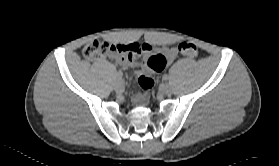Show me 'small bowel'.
I'll list each match as a JSON object with an SVG mask.
<instances>
[{
    "label": "small bowel",
    "instance_id": "small-bowel-1",
    "mask_svg": "<svg viewBox=\"0 0 279 166\" xmlns=\"http://www.w3.org/2000/svg\"><path fill=\"white\" fill-rule=\"evenodd\" d=\"M142 46H143L142 52L158 54L162 57L163 65L157 72L162 71L168 64L173 62L177 56V51L173 47L164 46L158 50H154L149 44H142ZM136 55L137 54H134L133 56L130 57H120L113 54H109L108 57L117 60L126 69H133L138 66Z\"/></svg>",
    "mask_w": 279,
    "mask_h": 166
}]
</instances>
